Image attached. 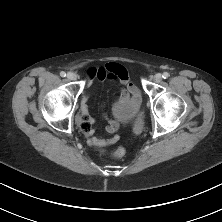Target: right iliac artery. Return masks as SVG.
<instances>
[{"label":"right iliac artery","instance_id":"1","mask_svg":"<svg viewBox=\"0 0 222 222\" xmlns=\"http://www.w3.org/2000/svg\"><path fill=\"white\" fill-rule=\"evenodd\" d=\"M60 76L61 77H65L66 76V73L64 71L60 72Z\"/></svg>","mask_w":222,"mask_h":222}]
</instances>
